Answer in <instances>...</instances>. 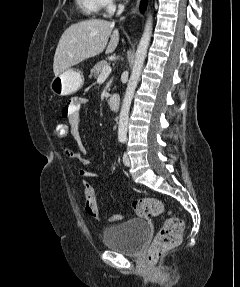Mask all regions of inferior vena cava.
Returning a JSON list of instances; mask_svg holds the SVG:
<instances>
[{"mask_svg":"<svg viewBox=\"0 0 240 287\" xmlns=\"http://www.w3.org/2000/svg\"><path fill=\"white\" fill-rule=\"evenodd\" d=\"M123 10H124V5H119L117 15H120L123 12Z\"/></svg>","mask_w":240,"mask_h":287,"instance_id":"obj_1","label":"inferior vena cava"}]
</instances>
